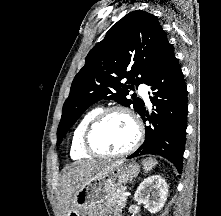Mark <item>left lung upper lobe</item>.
<instances>
[{
	"label": "left lung upper lobe",
	"instance_id": "obj_1",
	"mask_svg": "<svg viewBox=\"0 0 221 216\" xmlns=\"http://www.w3.org/2000/svg\"><path fill=\"white\" fill-rule=\"evenodd\" d=\"M168 43L153 14L137 10L119 20L88 53L84 67L72 82L57 130V145L84 111L98 100L112 99L132 106L140 114L143 100L126 96L135 85L147 83Z\"/></svg>",
	"mask_w": 221,
	"mask_h": 216
}]
</instances>
